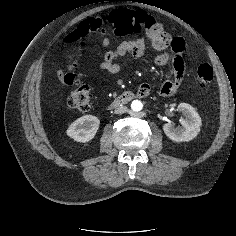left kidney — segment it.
Returning <instances> with one entry per match:
<instances>
[{
    "label": "left kidney",
    "mask_w": 236,
    "mask_h": 236,
    "mask_svg": "<svg viewBox=\"0 0 236 236\" xmlns=\"http://www.w3.org/2000/svg\"><path fill=\"white\" fill-rule=\"evenodd\" d=\"M178 110L185 119L181 121L182 128H175L172 123L164 124L163 130L168 138L175 142H188L200 132L201 118L196 110L187 103H180Z\"/></svg>",
    "instance_id": "left-kidney-1"
}]
</instances>
